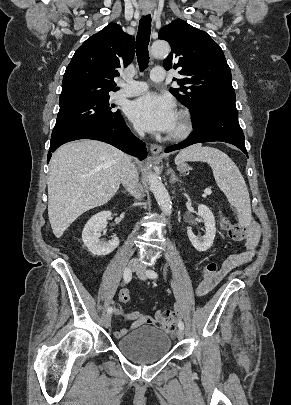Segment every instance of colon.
Here are the masks:
<instances>
[{
	"label": "colon",
	"instance_id": "1",
	"mask_svg": "<svg viewBox=\"0 0 291 405\" xmlns=\"http://www.w3.org/2000/svg\"><path fill=\"white\" fill-rule=\"evenodd\" d=\"M223 227L228 236L237 242H244L248 237V229L241 224L231 222L227 219L223 221ZM219 267L216 263H208L202 270V278L204 280H213L217 277ZM120 300L123 303H128L130 300V293L128 290H123L120 293Z\"/></svg>",
	"mask_w": 291,
	"mask_h": 405
}]
</instances>
